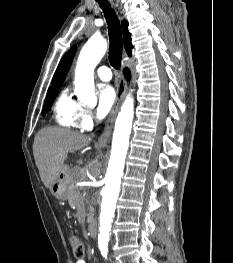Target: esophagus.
<instances>
[{
	"label": "esophagus",
	"mask_w": 233,
	"mask_h": 263,
	"mask_svg": "<svg viewBox=\"0 0 233 263\" xmlns=\"http://www.w3.org/2000/svg\"><path fill=\"white\" fill-rule=\"evenodd\" d=\"M124 68H125V63L123 62L122 72H121L119 83L117 86L116 102H115V105H114L113 109L111 110L109 117L105 123L104 130L98 139V146L99 147H105L111 138L114 121H115V118H116V115L118 113L120 104H121L123 97H124V94H125L126 80H125V77L123 75V69Z\"/></svg>",
	"instance_id": "obj_1"
}]
</instances>
